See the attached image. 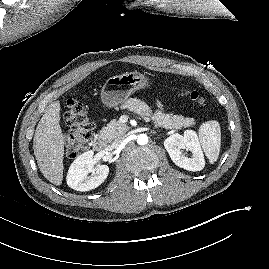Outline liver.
Returning <instances> with one entry per match:
<instances>
[{"label":"liver","mask_w":269,"mask_h":269,"mask_svg":"<svg viewBox=\"0 0 269 269\" xmlns=\"http://www.w3.org/2000/svg\"><path fill=\"white\" fill-rule=\"evenodd\" d=\"M60 102L54 101L39 121L33 141L34 155L43 176L54 185L63 180L65 137L60 124Z\"/></svg>","instance_id":"obj_1"}]
</instances>
